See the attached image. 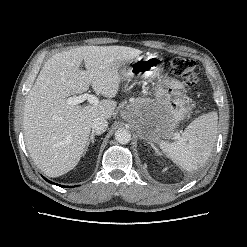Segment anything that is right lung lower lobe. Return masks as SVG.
<instances>
[{
    "instance_id": "98d812e1",
    "label": "right lung lower lobe",
    "mask_w": 247,
    "mask_h": 247,
    "mask_svg": "<svg viewBox=\"0 0 247 247\" xmlns=\"http://www.w3.org/2000/svg\"><path fill=\"white\" fill-rule=\"evenodd\" d=\"M46 181H48L49 183H52V184H55V183H53V182H51V181H49V180H47V179H45ZM57 185V184H56ZM59 186H61V187H64V186H62V185H59ZM66 187V186H65Z\"/></svg>"
}]
</instances>
